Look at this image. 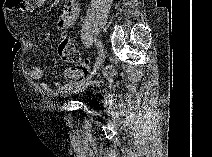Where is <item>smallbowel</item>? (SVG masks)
Here are the masks:
<instances>
[{
  "label": "small bowel",
  "instance_id": "small-bowel-1",
  "mask_svg": "<svg viewBox=\"0 0 212 157\" xmlns=\"http://www.w3.org/2000/svg\"><path fill=\"white\" fill-rule=\"evenodd\" d=\"M36 4V2H34ZM6 7L11 10H23L27 11L31 8L32 3L28 0H6ZM80 12L79 3L75 0H67L62 9V13L58 20V27L60 29L71 28ZM27 49L31 50L34 46L33 42L28 41L26 43ZM44 69L40 66L33 67L29 70L28 75L33 80H41L44 77ZM64 80L54 81L53 86L49 87L46 84L41 86L50 94L53 95H66L73 90L82 87L84 85V79H79L75 75L74 68H68L63 73Z\"/></svg>",
  "mask_w": 212,
  "mask_h": 157
}]
</instances>
